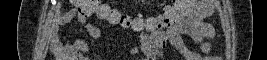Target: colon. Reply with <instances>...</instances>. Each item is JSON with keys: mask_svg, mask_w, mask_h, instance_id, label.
Returning a JSON list of instances; mask_svg holds the SVG:
<instances>
[{"mask_svg": "<svg viewBox=\"0 0 267 60\" xmlns=\"http://www.w3.org/2000/svg\"><path fill=\"white\" fill-rule=\"evenodd\" d=\"M74 2L78 5V11L82 15L94 16L122 29L147 31L149 33L176 27L187 14L190 6V0H175L161 14L142 19L124 13L106 1L76 0Z\"/></svg>", "mask_w": 267, "mask_h": 60, "instance_id": "obj_1", "label": "colon"}]
</instances>
